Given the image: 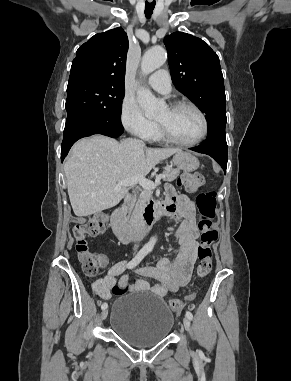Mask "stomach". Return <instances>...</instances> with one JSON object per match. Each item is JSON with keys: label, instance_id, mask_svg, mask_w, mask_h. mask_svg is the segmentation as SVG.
<instances>
[{"label": "stomach", "instance_id": "1", "mask_svg": "<svg viewBox=\"0 0 291 381\" xmlns=\"http://www.w3.org/2000/svg\"><path fill=\"white\" fill-rule=\"evenodd\" d=\"M173 162L178 169L185 172H193L199 167L198 159L189 152L181 151L175 154Z\"/></svg>", "mask_w": 291, "mask_h": 381}]
</instances>
